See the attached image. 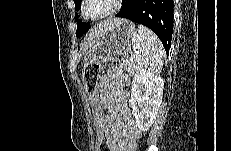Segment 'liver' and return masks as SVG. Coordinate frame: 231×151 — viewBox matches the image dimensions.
<instances>
[{
  "label": "liver",
  "instance_id": "liver-1",
  "mask_svg": "<svg viewBox=\"0 0 231 151\" xmlns=\"http://www.w3.org/2000/svg\"><path fill=\"white\" fill-rule=\"evenodd\" d=\"M121 21H123V19H110L104 21L103 23L96 26L93 30H91L88 37L83 43V52H86L89 48H91L112 24L119 23Z\"/></svg>",
  "mask_w": 231,
  "mask_h": 151
}]
</instances>
